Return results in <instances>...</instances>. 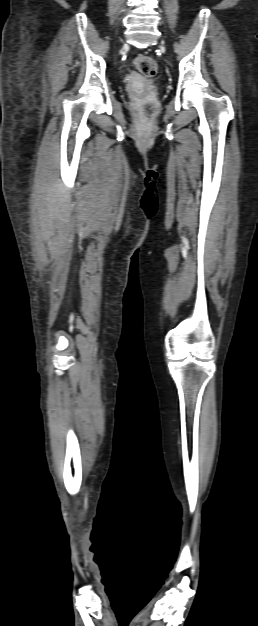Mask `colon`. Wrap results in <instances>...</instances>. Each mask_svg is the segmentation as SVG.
Listing matches in <instances>:
<instances>
[{"label": "colon", "mask_w": 258, "mask_h": 626, "mask_svg": "<svg viewBox=\"0 0 258 626\" xmlns=\"http://www.w3.org/2000/svg\"><path fill=\"white\" fill-rule=\"evenodd\" d=\"M135 66L141 74L148 78L153 77L157 72L156 61L146 55H138L135 59Z\"/></svg>", "instance_id": "colon-1"}]
</instances>
